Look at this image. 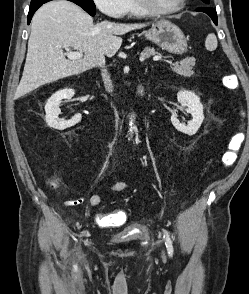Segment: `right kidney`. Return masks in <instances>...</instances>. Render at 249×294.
<instances>
[{"label":"right kidney","instance_id":"ca27d5eb","mask_svg":"<svg viewBox=\"0 0 249 294\" xmlns=\"http://www.w3.org/2000/svg\"><path fill=\"white\" fill-rule=\"evenodd\" d=\"M73 89H63L54 93L47 101L45 105V112H46V123L48 126L57 129V130H64L66 128L72 127L78 122L81 121V114H76L70 120H61L58 118L61 110L59 105L63 99L70 100L74 96Z\"/></svg>","mask_w":249,"mask_h":294}]
</instances>
